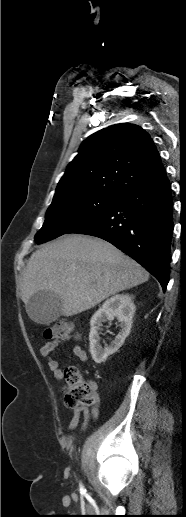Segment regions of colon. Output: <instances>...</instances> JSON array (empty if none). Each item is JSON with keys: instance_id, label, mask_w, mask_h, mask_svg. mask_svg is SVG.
<instances>
[{"instance_id": "5ec220e1", "label": "colon", "mask_w": 186, "mask_h": 517, "mask_svg": "<svg viewBox=\"0 0 186 517\" xmlns=\"http://www.w3.org/2000/svg\"><path fill=\"white\" fill-rule=\"evenodd\" d=\"M74 335V325L65 320L54 323L43 332V337L46 340L68 339ZM64 378V399L67 406L74 408L89 406L94 403L95 384L92 381L85 380L77 367H68L64 373Z\"/></svg>"}]
</instances>
